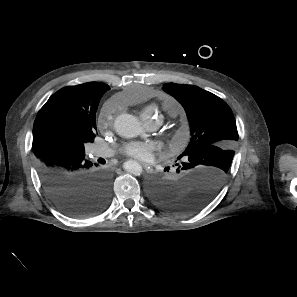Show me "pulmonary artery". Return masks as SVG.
Returning a JSON list of instances; mask_svg holds the SVG:
<instances>
[{
	"label": "pulmonary artery",
	"instance_id": "obj_1",
	"mask_svg": "<svg viewBox=\"0 0 297 297\" xmlns=\"http://www.w3.org/2000/svg\"><path fill=\"white\" fill-rule=\"evenodd\" d=\"M147 125H148V127L153 129V128H155L157 126V123L148 121ZM92 152L96 156H99V157H109V156H111L113 154V151L111 149L104 148V147H99V146H94L92 148Z\"/></svg>",
	"mask_w": 297,
	"mask_h": 297
}]
</instances>
